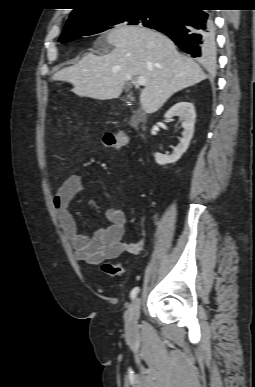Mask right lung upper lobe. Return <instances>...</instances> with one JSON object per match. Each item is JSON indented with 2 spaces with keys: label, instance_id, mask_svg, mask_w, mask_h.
<instances>
[{
  "label": "right lung upper lobe",
  "instance_id": "obj_1",
  "mask_svg": "<svg viewBox=\"0 0 255 387\" xmlns=\"http://www.w3.org/2000/svg\"><path fill=\"white\" fill-rule=\"evenodd\" d=\"M199 0H77V7L71 12L67 21H77L88 15L121 6H153L172 8L193 4Z\"/></svg>",
  "mask_w": 255,
  "mask_h": 387
}]
</instances>
